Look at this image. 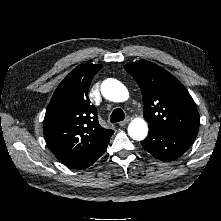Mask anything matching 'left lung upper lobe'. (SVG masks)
Instances as JSON below:
<instances>
[{"mask_svg": "<svg viewBox=\"0 0 221 221\" xmlns=\"http://www.w3.org/2000/svg\"><path fill=\"white\" fill-rule=\"evenodd\" d=\"M124 68L142 91L149 129L197 135L200 117L195 102L171 73L146 60L126 64Z\"/></svg>", "mask_w": 221, "mask_h": 221, "instance_id": "obj_1", "label": "left lung upper lobe"}]
</instances>
